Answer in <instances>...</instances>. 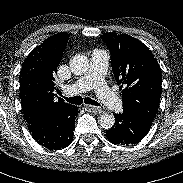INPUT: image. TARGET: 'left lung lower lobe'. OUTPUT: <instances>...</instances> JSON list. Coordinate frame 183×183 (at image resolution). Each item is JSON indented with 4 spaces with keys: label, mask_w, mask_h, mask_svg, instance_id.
<instances>
[{
    "label": "left lung lower lobe",
    "mask_w": 183,
    "mask_h": 183,
    "mask_svg": "<svg viewBox=\"0 0 183 183\" xmlns=\"http://www.w3.org/2000/svg\"><path fill=\"white\" fill-rule=\"evenodd\" d=\"M152 122L139 113L123 109L122 113L115 114V124L106 131V137L114 144H135L146 136Z\"/></svg>",
    "instance_id": "left-lung-lower-lobe-1"
}]
</instances>
